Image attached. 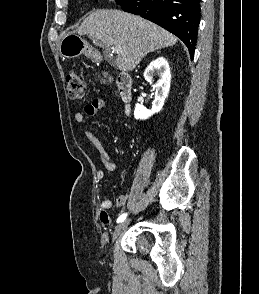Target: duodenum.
Masks as SVG:
<instances>
[{"label": "duodenum", "instance_id": "duodenum-1", "mask_svg": "<svg viewBox=\"0 0 259 294\" xmlns=\"http://www.w3.org/2000/svg\"><path fill=\"white\" fill-rule=\"evenodd\" d=\"M117 92L119 98L128 105L132 99V92H133V84L131 76L126 73L122 72L117 77Z\"/></svg>", "mask_w": 259, "mask_h": 294}]
</instances>
